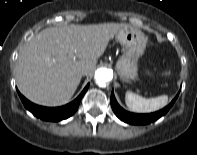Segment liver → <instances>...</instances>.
I'll return each mask as SVG.
<instances>
[{
  "label": "liver",
  "instance_id": "liver-1",
  "mask_svg": "<svg viewBox=\"0 0 197 155\" xmlns=\"http://www.w3.org/2000/svg\"><path fill=\"white\" fill-rule=\"evenodd\" d=\"M124 24L46 28L24 45L16 65L19 91L43 106L65 104L81 81L80 70L94 71L109 40Z\"/></svg>",
  "mask_w": 197,
  "mask_h": 155
}]
</instances>
